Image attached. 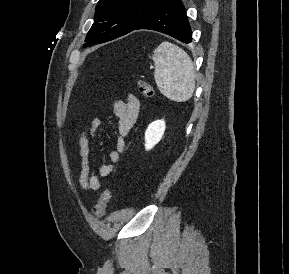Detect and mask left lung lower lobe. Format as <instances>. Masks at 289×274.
Listing matches in <instances>:
<instances>
[{
  "mask_svg": "<svg viewBox=\"0 0 289 274\" xmlns=\"http://www.w3.org/2000/svg\"><path fill=\"white\" fill-rule=\"evenodd\" d=\"M138 29L162 32L184 43L192 41L191 27L181 0H167L134 30Z\"/></svg>",
  "mask_w": 289,
  "mask_h": 274,
  "instance_id": "obj_1",
  "label": "left lung lower lobe"
}]
</instances>
